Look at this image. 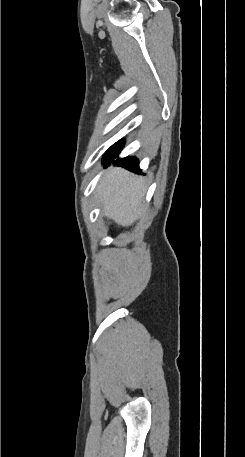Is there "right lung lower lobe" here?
Wrapping results in <instances>:
<instances>
[{
  "mask_svg": "<svg viewBox=\"0 0 245 457\" xmlns=\"http://www.w3.org/2000/svg\"><path fill=\"white\" fill-rule=\"evenodd\" d=\"M124 146L123 141H119L115 143L110 149L105 153L103 156V161L105 163V166H107L109 163L113 161L114 158L117 157V155L120 153ZM115 165H120L122 167H126L127 169L135 172H140L139 165H138V160L135 157H126L123 159H117L114 162Z\"/></svg>",
  "mask_w": 245,
  "mask_h": 457,
  "instance_id": "98d812e1",
  "label": "right lung lower lobe"
}]
</instances>
